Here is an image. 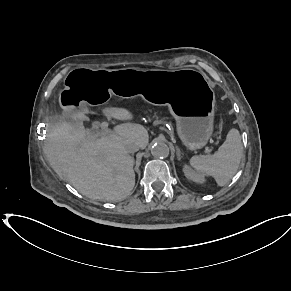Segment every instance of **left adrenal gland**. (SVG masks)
I'll list each match as a JSON object with an SVG mask.
<instances>
[{
  "label": "left adrenal gland",
  "mask_w": 291,
  "mask_h": 291,
  "mask_svg": "<svg viewBox=\"0 0 291 291\" xmlns=\"http://www.w3.org/2000/svg\"><path fill=\"white\" fill-rule=\"evenodd\" d=\"M181 155H182V153H181L180 149L177 148V159L178 160H181Z\"/></svg>",
  "instance_id": "a2214340"
}]
</instances>
